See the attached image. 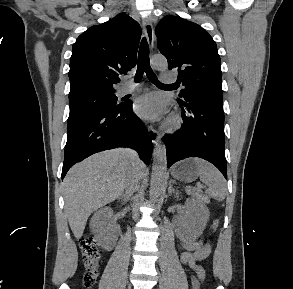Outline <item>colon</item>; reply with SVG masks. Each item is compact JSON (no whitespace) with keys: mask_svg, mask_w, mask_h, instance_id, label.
<instances>
[{"mask_svg":"<svg viewBox=\"0 0 293 289\" xmlns=\"http://www.w3.org/2000/svg\"><path fill=\"white\" fill-rule=\"evenodd\" d=\"M219 226V221L215 220L212 224V229L216 230ZM80 248L82 251V260L85 267L83 275V284L86 289H91L95 284L99 262L101 258L100 250L98 245L93 238L86 236L80 239ZM205 278V272L203 268H197L196 277L193 279V289H198L199 286L203 283Z\"/></svg>","mask_w":293,"mask_h":289,"instance_id":"colon-1","label":"colon"}]
</instances>
